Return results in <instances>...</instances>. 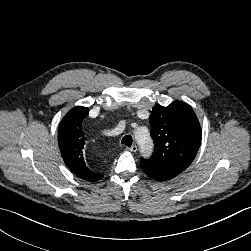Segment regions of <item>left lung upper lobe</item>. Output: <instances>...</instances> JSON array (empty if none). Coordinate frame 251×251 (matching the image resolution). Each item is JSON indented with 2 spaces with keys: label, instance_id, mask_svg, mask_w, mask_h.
I'll list each match as a JSON object with an SVG mask.
<instances>
[{
  "label": "left lung upper lobe",
  "instance_id": "5c2ea615",
  "mask_svg": "<svg viewBox=\"0 0 251 251\" xmlns=\"http://www.w3.org/2000/svg\"><path fill=\"white\" fill-rule=\"evenodd\" d=\"M149 122L154 155L141 163L152 168L182 173L194 160L201 142V127L193 109L175 101L153 107Z\"/></svg>",
  "mask_w": 251,
  "mask_h": 251
}]
</instances>
